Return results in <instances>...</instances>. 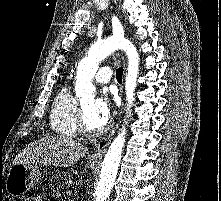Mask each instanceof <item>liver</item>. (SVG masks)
Segmentation results:
<instances>
[{
  "label": "liver",
  "mask_w": 221,
  "mask_h": 201,
  "mask_svg": "<svg viewBox=\"0 0 221 201\" xmlns=\"http://www.w3.org/2000/svg\"><path fill=\"white\" fill-rule=\"evenodd\" d=\"M88 149L80 142L64 136H46L31 143L18 154L15 163H36L68 167L87 154Z\"/></svg>",
  "instance_id": "liver-1"
}]
</instances>
